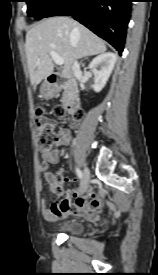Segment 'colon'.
I'll return each mask as SVG.
<instances>
[{
    "instance_id": "obj_1",
    "label": "colon",
    "mask_w": 158,
    "mask_h": 275,
    "mask_svg": "<svg viewBox=\"0 0 158 275\" xmlns=\"http://www.w3.org/2000/svg\"><path fill=\"white\" fill-rule=\"evenodd\" d=\"M55 114L59 118L65 117V111L62 107H57L55 109ZM55 121L47 115L43 110H37L35 117V128H36V140L37 147L40 152L46 153L50 150L52 145L57 140V135L55 132ZM64 176L61 172H58L55 177V187L54 192L56 195H61L62 190V182L64 181Z\"/></svg>"
}]
</instances>
